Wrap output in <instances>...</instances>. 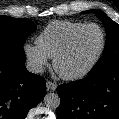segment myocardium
<instances>
[{
	"label": "myocardium",
	"instance_id": "f54148a6",
	"mask_svg": "<svg viewBox=\"0 0 119 119\" xmlns=\"http://www.w3.org/2000/svg\"><path fill=\"white\" fill-rule=\"evenodd\" d=\"M88 28H96L101 33V45H100V48H99L97 54L91 60V62L86 67H84L83 69H81L77 72H74V73H70V74L61 73L58 70L59 61L69 52L75 39L83 31H85ZM105 47H106V34H105L103 28L101 26H99L98 24H95V23L84 24L83 26H81L80 28H78L76 31H74L71 34V36L68 38L66 43L63 45V47L56 53V55L53 58V67H54L55 71L65 80L73 81V80L81 79L93 70V68L96 66V64L99 62L100 58L102 57L104 50H105Z\"/></svg>",
	"mask_w": 119,
	"mask_h": 119
}]
</instances>
